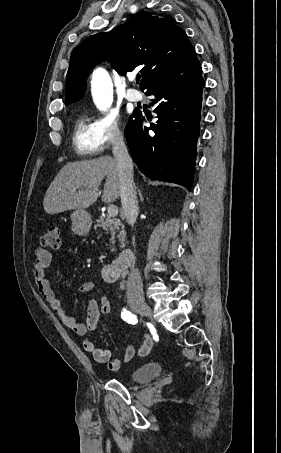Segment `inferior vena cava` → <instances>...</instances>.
I'll return each mask as SVG.
<instances>
[{
  "mask_svg": "<svg viewBox=\"0 0 281 453\" xmlns=\"http://www.w3.org/2000/svg\"><path fill=\"white\" fill-rule=\"evenodd\" d=\"M113 156L118 162L122 206L126 220L132 227V224L136 222L139 206L136 198V186L133 180V164L121 132H116L114 136ZM127 295L128 299H132V301H144L142 279L138 269H132L128 277Z\"/></svg>",
  "mask_w": 281,
  "mask_h": 453,
  "instance_id": "602c4592",
  "label": "inferior vena cava"
}]
</instances>
